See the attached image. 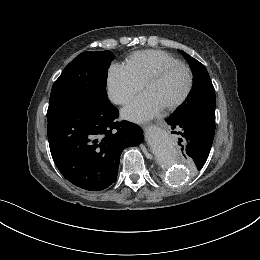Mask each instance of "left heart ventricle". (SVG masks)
<instances>
[{
    "instance_id": "left-heart-ventricle-1",
    "label": "left heart ventricle",
    "mask_w": 260,
    "mask_h": 260,
    "mask_svg": "<svg viewBox=\"0 0 260 260\" xmlns=\"http://www.w3.org/2000/svg\"><path fill=\"white\" fill-rule=\"evenodd\" d=\"M187 85L188 76L186 71L184 69H176L162 80L148 85L145 88V92L151 94L164 108L176 101L184 93Z\"/></svg>"
}]
</instances>
